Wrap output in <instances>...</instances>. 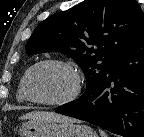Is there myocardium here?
I'll return each mask as SVG.
<instances>
[{
  "label": "myocardium",
  "mask_w": 144,
  "mask_h": 137,
  "mask_svg": "<svg viewBox=\"0 0 144 137\" xmlns=\"http://www.w3.org/2000/svg\"><path fill=\"white\" fill-rule=\"evenodd\" d=\"M44 65L59 66L71 74L73 81H74V85H73L71 92L66 97L59 99V100H43V99L35 98L30 94L29 80H30L31 74L37 68L44 66ZM81 89H82V78H81V75H80L78 69L71 63L64 61V60H60V59H44V60L38 61L35 64H33L25 72V74L23 76L22 90H23L24 96L26 97L27 100H29L33 103H36V104H40V105H45V106L67 105L77 99V97L79 96V94L81 92Z\"/></svg>",
  "instance_id": "obj_1"
}]
</instances>
